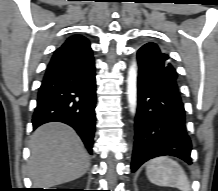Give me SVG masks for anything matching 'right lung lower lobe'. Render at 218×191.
<instances>
[{
	"mask_svg": "<svg viewBox=\"0 0 218 191\" xmlns=\"http://www.w3.org/2000/svg\"><path fill=\"white\" fill-rule=\"evenodd\" d=\"M95 62L89 41L74 35L58 48L47 66L38 91L32 123L47 122L73 127L92 153L95 133Z\"/></svg>",
	"mask_w": 218,
	"mask_h": 191,
	"instance_id": "1",
	"label": "right lung lower lobe"
}]
</instances>
